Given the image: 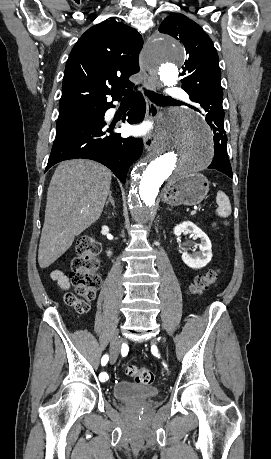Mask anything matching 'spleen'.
Instances as JSON below:
<instances>
[{"mask_svg":"<svg viewBox=\"0 0 271 459\" xmlns=\"http://www.w3.org/2000/svg\"><path fill=\"white\" fill-rule=\"evenodd\" d=\"M216 204H218V208L216 210L218 216H222V218L230 216L232 212L231 204L228 196H226L224 192H217Z\"/></svg>","mask_w":271,"mask_h":459,"instance_id":"obj_1","label":"spleen"}]
</instances>
